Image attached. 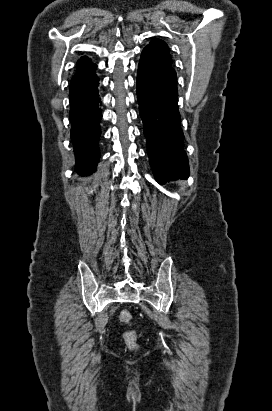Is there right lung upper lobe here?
<instances>
[{"label":"right lung upper lobe","instance_id":"right-lung-upper-lobe-1","mask_svg":"<svg viewBox=\"0 0 272 411\" xmlns=\"http://www.w3.org/2000/svg\"><path fill=\"white\" fill-rule=\"evenodd\" d=\"M95 69L96 65L91 60L86 56L81 57L77 62V72L71 80L69 91L82 88L95 79Z\"/></svg>","mask_w":272,"mask_h":411}]
</instances>
